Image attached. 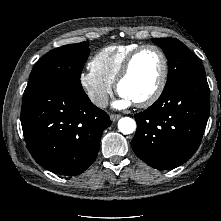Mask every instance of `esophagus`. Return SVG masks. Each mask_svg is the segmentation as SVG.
<instances>
[{
	"instance_id": "obj_1",
	"label": "esophagus",
	"mask_w": 221,
	"mask_h": 221,
	"mask_svg": "<svg viewBox=\"0 0 221 221\" xmlns=\"http://www.w3.org/2000/svg\"><path fill=\"white\" fill-rule=\"evenodd\" d=\"M120 117H121V115H119V114H111L110 115V119L113 122L117 121Z\"/></svg>"
}]
</instances>
